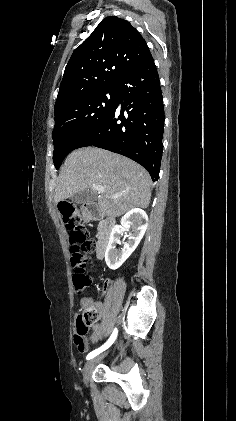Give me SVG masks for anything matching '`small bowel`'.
<instances>
[{
  "label": "small bowel",
  "mask_w": 236,
  "mask_h": 421,
  "mask_svg": "<svg viewBox=\"0 0 236 421\" xmlns=\"http://www.w3.org/2000/svg\"><path fill=\"white\" fill-rule=\"evenodd\" d=\"M85 304H92L100 313H102L104 315V308H103V306H102V304L100 302H91V301L85 299V300L82 301V305H85ZM101 327H102V324H98V325H95L94 326L93 333L91 335V340L92 341H93L96 333L98 332V330Z\"/></svg>",
  "instance_id": "obj_1"
}]
</instances>
